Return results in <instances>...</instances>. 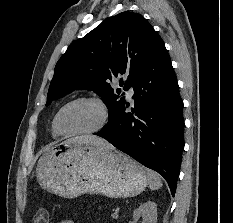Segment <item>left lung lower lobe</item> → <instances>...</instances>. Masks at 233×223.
Segmentation results:
<instances>
[{
  "label": "left lung lower lobe",
  "instance_id": "obj_1",
  "mask_svg": "<svg viewBox=\"0 0 233 223\" xmlns=\"http://www.w3.org/2000/svg\"><path fill=\"white\" fill-rule=\"evenodd\" d=\"M135 105L126 103L97 133L117 149L162 175L174 196L184 147L183 101L162 39L133 83Z\"/></svg>",
  "mask_w": 233,
  "mask_h": 223
}]
</instances>
